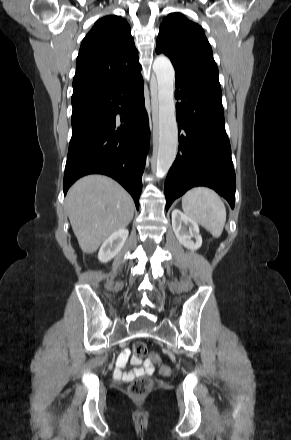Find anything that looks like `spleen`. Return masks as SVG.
I'll list each match as a JSON object with an SVG mask.
<instances>
[{
	"label": "spleen",
	"mask_w": 291,
	"mask_h": 440,
	"mask_svg": "<svg viewBox=\"0 0 291 440\" xmlns=\"http://www.w3.org/2000/svg\"><path fill=\"white\" fill-rule=\"evenodd\" d=\"M182 208L213 237L221 236L226 222V208L215 191L207 187L190 189L182 198Z\"/></svg>",
	"instance_id": "3e777b00"
}]
</instances>
